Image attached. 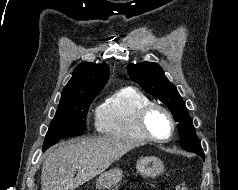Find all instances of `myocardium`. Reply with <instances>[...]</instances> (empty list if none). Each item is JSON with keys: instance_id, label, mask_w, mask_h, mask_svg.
<instances>
[{"instance_id": "obj_1", "label": "myocardium", "mask_w": 238, "mask_h": 190, "mask_svg": "<svg viewBox=\"0 0 238 190\" xmlns=\"http://www.w3.org/2000/svg\"><path fill=\"white\" fill-rule=\"evenodd\" d=\"M154 111H160L162 112L169 120L170 123V130L169 133L164 136L160 137L155 135L149 128L148 125V120L150 115ZM138 125L142 133L150 140L155 141V142H166L168 141L174 133L175 130V120L171 112L164 106L157 104V103H149L146 106H144L138 113L137 117Z\"/></svg>"}]
</instances>
